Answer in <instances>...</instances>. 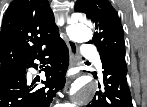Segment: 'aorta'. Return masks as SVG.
I'll return each instance as SVG.
<instances>
[{
  "label": "aorta",
  "mask_w": 147,
  "mask_h": 107,
  "mask_svg": "<svg viewBox=\"0 0 147 107\" xmlns=\"http://www.w3.org/2000/svg\"><path fill=\"white\" fill-rule=\"evenodd\" d=\"M67 35L75 42H88L92 38L91 29L84 23L73 22L67 27ZM97 91V83L89 78L82 77L76 80L72 87L73 102L84 105L91 101Z\"/></svg>",
  "instance_id": "aorta-1"
}]
</instances>
